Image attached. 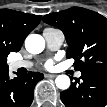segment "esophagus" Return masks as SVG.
<instances>
[{"mask_svg": "<svg viewBox=\"0 0 107 107\" xmlns=\"http://www.w3.org/2000/svg\"><path fill=\"white\" fill-rule=\"evenodd\" d=\"M57 75L55 74H45V77L47 78H55Z\"/></svg>", "mask_w": 107, "mask_h": 107, "instance_id": "34e87169", "label": "esophagus"}]
</instances>
